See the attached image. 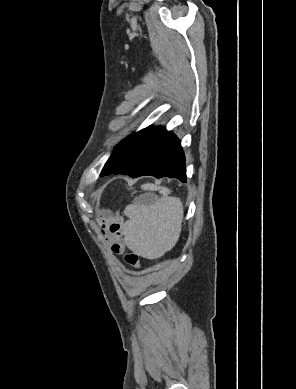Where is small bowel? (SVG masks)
<instances>
[{
  "mask_svg": "<svg viewBox=\"0 0 296 389\" xmlns=\"http://www.w3.org/2000/svg\"><path fill=\"white\" fill-rule=\"evenodd\" d=\"M99 228L103 242L113 254H121L125 250L123 239V218L109 210L100 212Z\"/></svg>",
  "mask_w": 296,
  "mask_h": 389,
  "instance_id": "obj_1",
  "label": "small bowel"
}]
</instances>
